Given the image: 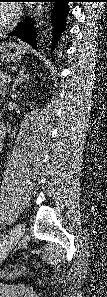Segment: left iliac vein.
Instances as JSON below:
<instances>
[{"label": "left iliac vein", "mask_w": 107, "mask_h": 297, "mask_svg": "<svg viewBox=\"0 0 107 297\" xmlns=\"http://www.w3.org/2000/svg\"><path fill=\"white\" fill-rule=\"evenodd\" d=\"M24 232H25V227L22 223H18L13 227V229L10 232V236H9L10 239H9L7 248L5 251L3 250L1 253L2 254L1 259H3L4 255H6V251L10 250L18 243V241L24 235Z\"/></svg>", "instance_id": "left-iliac-vein-1"}]
</instances>
